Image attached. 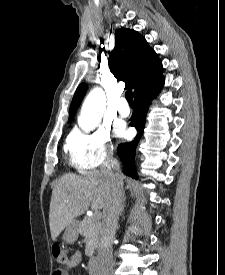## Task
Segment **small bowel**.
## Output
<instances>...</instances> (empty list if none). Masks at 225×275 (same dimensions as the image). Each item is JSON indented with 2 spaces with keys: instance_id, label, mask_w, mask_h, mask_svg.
Instances as JSON below:
<instances>
[{
  "instance_id": "c3829d8e",
  "label": "small bowel",
  "mask_w": 225,
  "mask_h": 275,
  "mask_svg": "<svg viewBox=\"0 0 225 275\" xmlns=\"http://www.w3.org/2000/svg\"><path fill=\"white\" fill-rule=\"evenodd\" d=\"M81 258V252L75 251L71 256L70 261L66 264V268L64 270L55 271L54 275H74Z\"/></svg>"
}]
</instances>
